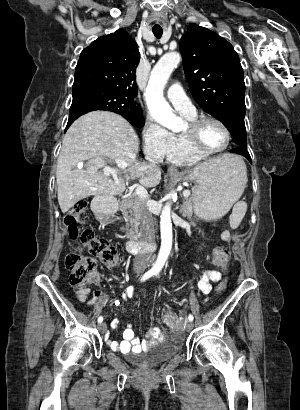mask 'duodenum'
<instances>
[{"mask_svg":"<svg viewBox=\"0 0 300 410\" xmlns=\"http://www.w3.org/2000/svg\"><path fill=\"white\" fill-rule=\"evenodd\" d=\"M114 210V203L109 198H98L93 201V213L95 217L102 221ZM150 245V244H149ZM124 246L131 253L150 254L154 248H148L135 238H129L125 241Z\"/></svg>","mask_w":300,"mask_h":410,"instance_id":"1","label":"duodenum"}]
</instances>
